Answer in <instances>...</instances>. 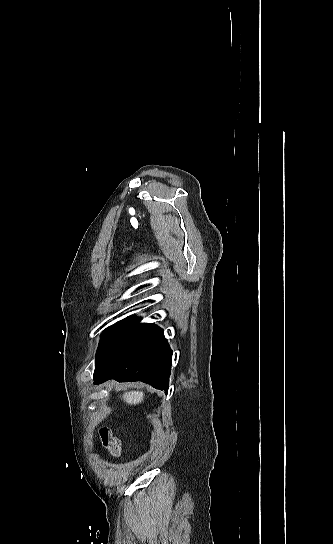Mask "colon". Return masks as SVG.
<instances>
[{"label":"colon","mask_w":333,"mask_h":544,"mask_svg":"<svg viewBox=\"0 0 333 544\" xmlns=\"http://www.w3.org/2000/svg\"><path fill=\"white\" fill-rule=\"evenodd\" d=\"M103 446L112 454L117 456L120 452V442L113 436L110 430L102 428L99 432Z\"/></svg>","instance_id":"obj_1"}]
</instances>
